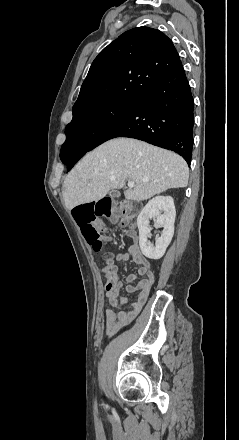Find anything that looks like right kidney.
Segmentation results:
<instances>
[{
	"mask_svg": "<svg viewBox=\"0 0 239 440\" xmlns=\"http://www.w3.org/2000/svg\"><path fill=\"white\" fill-rule=\"evenodd\" d=\"M152 218H157L158 226L163 228L160 238H156V244H152V241L147 239L150 238L149 220ZM175 218L176 210L171 196H156L149 200L137 218L139 242L144 257H152L153 260L158 261L161 258L160 253H164L165 248L171 247Z\"/></svg>",
	"mask_w": 239,
	"mask_h": 440,
	"instance_id": "right-kidney-1",
	"label": "right kidney"
}]
</instances>
